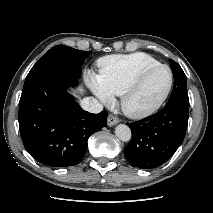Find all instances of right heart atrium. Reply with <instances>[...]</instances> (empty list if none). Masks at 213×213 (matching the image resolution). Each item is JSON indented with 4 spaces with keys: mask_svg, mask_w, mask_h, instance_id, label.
I'll use <instances>...</instances> for the list:
<instances>
[{
    "mask_svg": "<svg viewBox=\"0 0 213 213\" xmlns=\"http://www.w3.org/2000/svg\"><path fill=\"white\" fill-rule=\"evenodd\" d=\"M87 81L92 89L93 93L103 102L109 103L112 100V95L109 94L103 87L99 75L93 72H89L87 75Z\"/></svg>",
    "mask_w": 213,
    "mask_h": 213,
    "instance_id": "d8ad5b80",
    "label": "right heart atrium"
}]
</instances>
